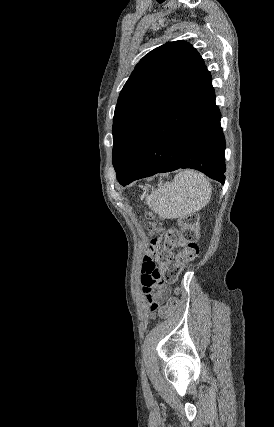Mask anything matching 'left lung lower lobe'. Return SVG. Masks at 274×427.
<instances>
[{"mask_svg":"<svg viewBox=\"0 0 274 427\" xmlns=\"http://www.w3.org/2000/svg\"><path fill=\"white\" fill-rule=\"evenodd\" d=\"M211 75L204 66L150 128L123 186L156 173L180 168L199 170L225 181V139L215 105Z\"/></svg>","mask_w":274,"mask_h":427,"instance_id":"0a47b994","label":"left lung lower lobe"}]
</instances>
